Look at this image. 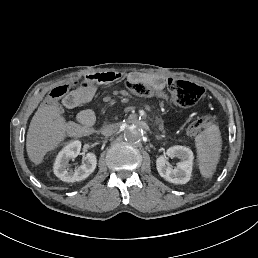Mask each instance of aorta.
<instances>
[{"instance_id": "762f6f07", "label": "aorta", "mask_w": 258, "mask_h": 258, "mask_svg": "<svg viewBox=\"0 0 258 258\" xmlns=\"http://www.w3.org/2000/svg\"><path fill=\"white\" fill-rule=\"evenodd\" d=\"M125 138L130 142H137L143 138V130L137 124H130L125 132Z\"/></svg>"}]
</instances>
